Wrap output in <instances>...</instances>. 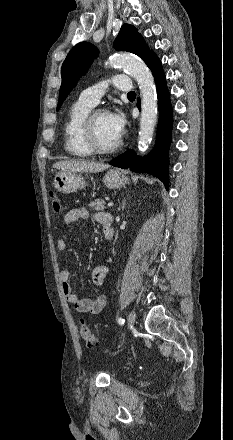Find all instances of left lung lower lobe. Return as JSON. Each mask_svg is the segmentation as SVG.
Returning <instances> with one entry per match:
<instances>
[{
	"label": "left lung lower lobe",
	"instance_id": "1",
	"mask_svg": "<svg viewBox=\"0 0 233 440\" xmlns=\"http://www.w3.org/2000/svg\"><path fill=\"white\" fill-rule=\"evenodd\" d=\"M154 76L159 108L158 138L155 150L147 157H138L132 150H127L110 162V165L123 169L130 168L134 172L148 173L158 177L168 189V148L172 129V107L166 78L161 61L153 55L147 63ZM137 106L140 109V99Z\"/></svg>",
	"mask_w": 233,
	"mask_h": 440
}]
</instances>
